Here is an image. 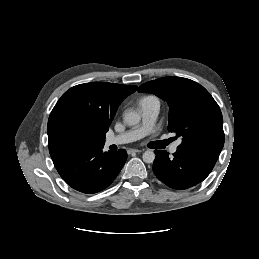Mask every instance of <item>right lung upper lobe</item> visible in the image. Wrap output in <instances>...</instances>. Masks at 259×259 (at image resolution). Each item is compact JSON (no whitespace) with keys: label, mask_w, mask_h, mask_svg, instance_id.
I'll list each match as a JSON object with an SVG mask.
<instances>
[{"label":"right lung upper lobe","mask_w":259,"mask_h":259,"mask_svg":"<svg viewBox=\"0 0 259 259\" xmlns=\"http://www.w3.org/2000/svg\"><path fill=\"white\" fill-rule=\"evenodd\" d=\"M137 86L91 82L70 88L50 113V155L104 146L118 106Z\"/></svg>","instance_id":"cb5924a9"}]
</instances>
